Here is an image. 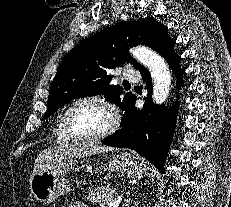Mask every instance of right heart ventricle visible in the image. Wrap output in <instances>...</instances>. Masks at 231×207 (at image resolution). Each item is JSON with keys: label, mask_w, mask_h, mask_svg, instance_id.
<instances>
[{"label": "right heart ventricle", "mask_w": 231, "mask_h": 207, "mask_svg": "<svg viewBox=\"0 0 231 207\" xmlns=\"http://www.w3.org/2000/svg\"><path fill=\"white\" fill-rule=\"evenodd\" d=\"M63 112L59 114L56 120V124L53 130L54 137L56 138L57 142L59 143H70L74 140L67 134L64 122H63Z\"/></svg>", "instance_id": "e07e8e85"}]
</instances>
